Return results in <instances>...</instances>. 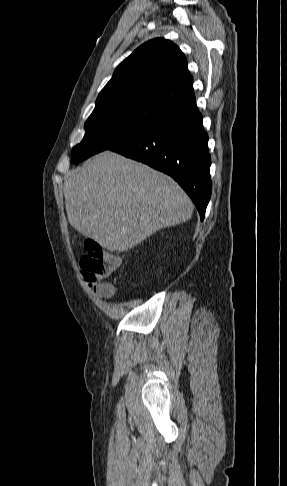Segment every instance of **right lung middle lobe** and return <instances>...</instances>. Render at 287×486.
<instances>
[{"instance_id":"right-lung-middle-lobe-1","label":"right lung middle lobe","mask_w":287,"mask_h":486,"mask_svg":"<svg viewBox=\"0 0 287 486\" xmlns=\"http://www.w3.org/2000/svg\"><path fill=\"white\" fill-rule=\"evenodd\" d=\"M169 110L149 103H119L95 107L85 123V135L72 150L79 162L103 150L120 146L140 135Z\"/></svg>"}]
</instances>
